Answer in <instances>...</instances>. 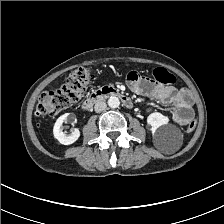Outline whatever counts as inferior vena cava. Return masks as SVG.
<instances>
[{"label":"inferior vena cava","instance_id":"obj_1","mask_svg":"<svg viewBox=\"0 0 224 224\" xmlns=\"http://www.w3.org/2000/svg\"><path fill=\"white\" fill-rule=\"evenodd\" d=\"M106 108H107V105H106V103L103 102V101H99V102H97V103L95 104V106H94V110H95V112H97V113L104 111Z\"/></svg>","mask_w":224,"mask_h":224}]
</instances>
